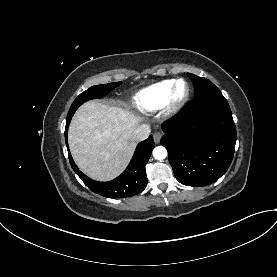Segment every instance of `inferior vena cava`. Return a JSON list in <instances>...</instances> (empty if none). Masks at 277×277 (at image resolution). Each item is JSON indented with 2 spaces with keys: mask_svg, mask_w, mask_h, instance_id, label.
I'll list each match as a JSON object with an SVG mask.
<instances>
[{
  "mask_svg": "<svg viewBox=\"0 0 277 277\" xmlns=\"http://www.w3.org/2000/svg\"><path fill=\"white\" fill-rule=\"evenodd\" d=\"M150 131H151L150 127L146 124H143V125L138 126L133 131L132 136L136 141H142V140H145L146 138H148Z\"/></svg>",
  "mask_w": 277,
  "mask_h": 277,
  "instance_id": "obj_1",
  "label": "inferior vena cava"
}]
</instances>
